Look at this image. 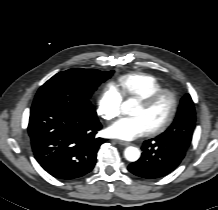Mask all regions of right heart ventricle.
<instances>
[{
	"label": "right heart ventricle",
	"mask_w": 218,
	"mask_h": 210,
	"mask_svg": "<svg viewBox=\"0 0 218 210\" xmlns=\"http://www.w3.org/2000/svg\"><path fill=\"white\" fill-rule=\"evenodd\" d=\"M122 98L141 99L153 92L164 89L163 83L155 76L142 72L120 76L113 84Z\"/></svg>",
	"instance_id": "right-heart-ventricle-1"
}]
</instances>
